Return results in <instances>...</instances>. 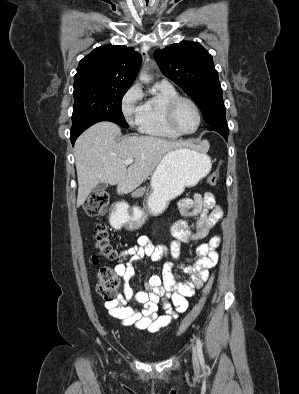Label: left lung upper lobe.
I'll return each instance as SVG.
<instances>
[{"instance_id":"left-lung-upper-lobe-1","label":"left lung upper lobe","mask_w":299,"mask_h":394,"mask_svg":"<svg viewBox=\"0 0 299 394\" xmlns=\"http://www.w3.org/2000/svg\"><path fill=\"white\" fill-rule=\"evenodd\" d=\"M154 58L162 73L195 101L208 125L227 124L218 72L207 50L184 41L156 50Z\"/></svg>"}]
</instances>
